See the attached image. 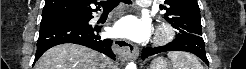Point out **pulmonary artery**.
<instances>
[{
	"instance_id": "e3ab8cb5",
	"label": "pulmonary artery",
	"mask_w": 246,
	"mask_h": 69,
	"mask_svg": "<svg viewBox=\"0 0 246 69\" xmlns=\"http://www.w3.org/2000/svg\"><path fill=\"white\" fill-rule=\"evenodd\" d=\"M136 3H137V5L140 6V7H147V6L150 5V3L147 2V1H137Z\"/></svg>"
}]
</instances>
